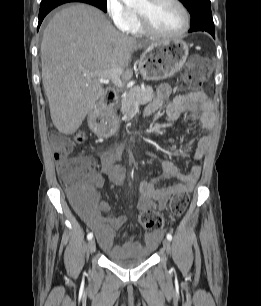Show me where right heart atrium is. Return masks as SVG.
<instances>
[{"label": "right heart atrium", "mask_w": 261, "mask_h": 306, "mask_svg": "<svg viewBox=\"0 0 261 306\" xmlns=\"http://www.w3.org/2000/svg\"><path fill=\"white\" fill-rule=\"evenodd\" d=\"M106 11L114 26L123 32H127L134 20V13L122 0H105Z\"/></svg>", "instance_id": "obj_1"}]
</instances>
